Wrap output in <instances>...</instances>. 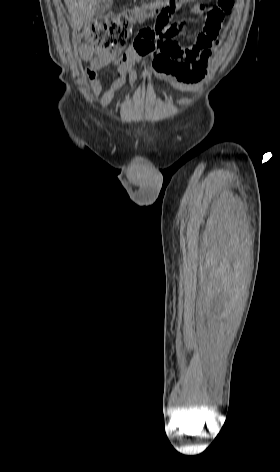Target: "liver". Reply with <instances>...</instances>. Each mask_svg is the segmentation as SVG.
<instances>
[{
  "label": "liver",
  "instance_id": "1",
  "mask_svg": "<svg viewBox=\"0 0 280 472\" xmlns=\"http://www.w3.org/2000/svg\"><path fill=\"white\" fill-rule=\"evenodd\" d=\"M71 15V25L80 30L84 23L90 21L95 13L97 0H64Z\"/></svg>",
  "mask_w": 280,
  "mask_h": 472
}]
</instances>
